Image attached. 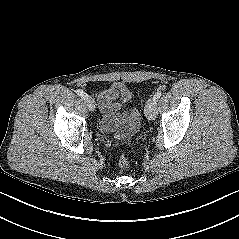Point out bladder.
Wrapping results in <instances>:
<instances>
[{
	"label": "bladder",
	"instance_id": "bladder-1",
	"mask_svg": "<svg viewBox=\"0 0 239 239\" xmlns=\"http://www.w3.org/2000/svg\"><path fill=\"white\" fill-rule=\"evenodd\" d=\"M118 102L128 108V112L123 120L121 132L124 135L132 137L137 134L140 127V111L132 103V91L122 84L118 88Z\"/></svg>",
	"mask_w": 239,
	"mask_h": 239
}]
</instances>
